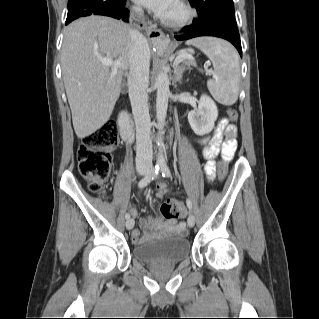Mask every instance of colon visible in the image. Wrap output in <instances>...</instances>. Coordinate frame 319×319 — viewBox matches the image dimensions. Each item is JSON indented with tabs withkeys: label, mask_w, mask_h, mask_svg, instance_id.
I'll return each mask as SVG.
<instances>
[{
	"label": "colon",
	"mask_w": 319,
	"mask_h": 319,
	"mask_svg": "<svg viewBox=\"0 0 319 319\" xmlns=\"http://www.w3.org/2000/svg\"><path fill=\"white\" fill-rule=\"evenodd\" d=\"M228 115L232 122L237 121L238 112L235 109H228ZM117 133V125L108 121L100 129L84 137L79 145V172L92 192L103 193L107 188L112 153L118 144ZM226 176L227 166L220 162L218 177L222 181ZM161 212L165 218L173 220L182 215L183 209L177 200L170 199L162 204Z\"/></svg>",
	"instance_id": "colon-1"
}]
</instances>
